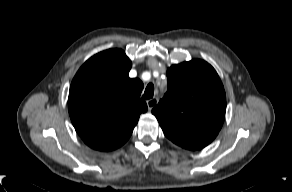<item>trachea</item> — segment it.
Wrapping results in <instances>:
<instances>
[{
  "label": "trachea",
  "mask_w": 292,
  "mask_h": 192,
  "mask_svg": "<svg viewBox=\"0 0 292 192\" xmlns=\"http://www.w3.org/2000/svg\"><path fill=\"white\" fill-rule=\"evenodd\" d=\"M153 94H154V86H153V84L150 83L147 85L142 98L151 99L153 97Z\"/></svg>",
  "instance_id": "3493384b"
}]
</instances>
